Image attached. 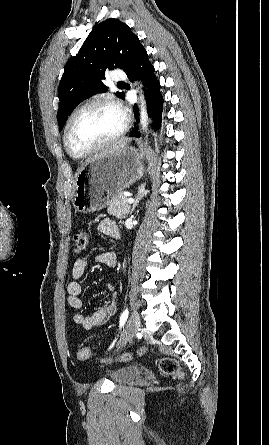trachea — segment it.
I'll list each match as a JSON object with an SVG mask.
<instances>
[{
	"label": "trachea",
	"mask_w": 269,
	"mask_h": 445,
	"mask_svg": "<svg viewBox=\"0 0 269 445\" xmlns=\"http://www.w3.org/2000/svg\"><path fill=\"white\" fill-rule=\"evenodd\" d=\"M123 82H118V84H122Z\"/></svg>",
	"instance_id": "3493384b"
}]
</instances>
